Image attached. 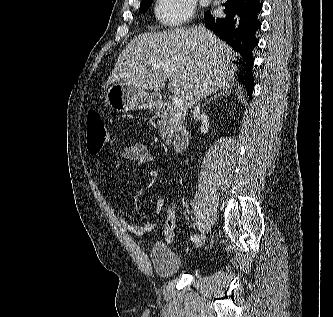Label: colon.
<instances>
[{"instance_id": "obj_1", "label": "colon", "mask_w": 333, "mask_h": 317, "mask_svg": "<svg viewBox=\"0 0 333 317\" xmlns=\"http://www.w3.org/2000/svg\"><path fill=\"white\" fill-rule=\"evenodd\" d=\"M108 140V133L101 114L91 109L87 118V150L91 155L101 151ZM164 236L167 242L172 243L175 239L177 224V211L174 206L168 205L164 208Z\"/></svg>"}]
</instances>
